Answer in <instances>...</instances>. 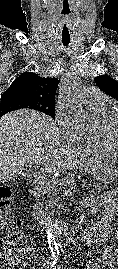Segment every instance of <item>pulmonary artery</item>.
I'll return each instance as SVG.
<instances>
[{
  "instance_id": "e3ab8cb5",
  "label": "pulmonary artery",
  "mask_w": 118,
  "mask_h": 269,
  "mask_svg": "<svg viewBox=\"0 0 118 269\" xmlns=\"http://www.w3.org/2000/svg\"><path fill=\"white\" fill-rule=\"evenodd\" d=\"M83 101L87 108L99 111L105 108V96L96 87H89L84 91Z\"/></svg>"
}]
</instances>
